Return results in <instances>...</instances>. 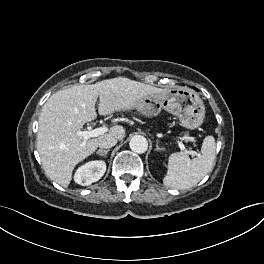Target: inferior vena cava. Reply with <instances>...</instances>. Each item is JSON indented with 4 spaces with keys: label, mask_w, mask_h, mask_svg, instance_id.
Listing matches in <instances>:
<instances>
[{
    "label": "inferior vena cava",
    "mask_w": 264,
    "mask_h": 264,
    "mask_svg": "<svg viewBox=\"0 0 264 264\" xmlns=\"http://www.w3.org/2000/svg\"><path fill=\"white\" fill-rule=\"evenodd\" d=\"M117 144V139L115 137L107 136L100 140L99 147L102 149H107L115 146Z\"/></svg>",
    "instance_id": "1"
}]
</instances>
